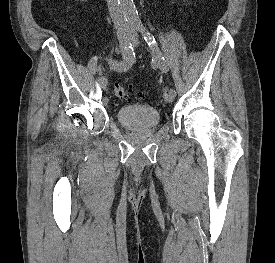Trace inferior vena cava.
<instances>
[{
  "label": "inferior vena cava",
  "instance_id": "inferior-vena-cava-1",
  "mask_svg": "<svg viewBox=\"0 0 275 263\" xmlns=\"http://www.w3.org/2000/svg\"><path fill=\"white\" fill-rule=\"evenodd\" d=\"M111 19L118 34L129 32L130 28L126 22L125 16L118 4L119 0H106Z\"/></svg>",
  "mask_w": 275,
  "mask_h": 263
}]
</instances>
